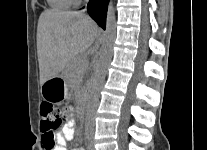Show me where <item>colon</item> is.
I'll use <instances>...</instances> for the list:
<instances>
[{
    "instance_id": "5ec220e1",
    "label": "colon",
    "mask_w": 207,
    "mask_h": 150,
    "mask_svg": "<svg viewBox=\"0 0 207 150\" xmlns=\"http://www.w3.org/2000/svg\"><path fill=\"white\" fill-rule=\"evenodd\" d=\"M68 108L47 101L41 107V131L43 133L44 150H53L55 132L62 126L68 116Z\"/></svg>"
}]
</instances>
